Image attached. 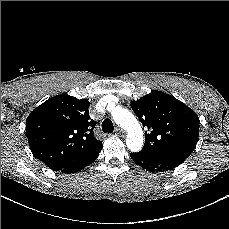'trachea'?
Listing matches in <instances>:
<instances>
[{"label": "trachea", "instance_id": "3493384b", "mask_svg": "<svg viewBox=\"0 0 229 229\" xmlns=\"http://www.w3.org/2000/svg\"><path fill=\"white\" fill-rule=\"evenodd\" d=\"M102 131L104 133H107V132H111L112 133L114 131V125H113V122L110 119H105L102 122Z\"/></svg>", "mask_w": 229, "mask_h": 229}]
</instances>
